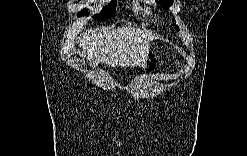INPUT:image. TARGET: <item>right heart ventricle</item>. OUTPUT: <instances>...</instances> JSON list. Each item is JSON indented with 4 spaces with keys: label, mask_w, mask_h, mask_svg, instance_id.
<instances>
[{
    "label": "right heart ventricle",
    "mask_w": 247,
    "mask_h": 156,
    "mask_svg": "<svg viewBox=\"0 0 247 156\" xmlns=\"http://www.w3.org/2000/svg\"><path fill=\"white\" fill-rule=\"evenodd\" d=\"M136 12L142 16V17H146L148 15V10L146 8H143L141 6H138L136 9Z\"/></svg>",
    "instance_id": "e07e8e85"
}]
</instances>
